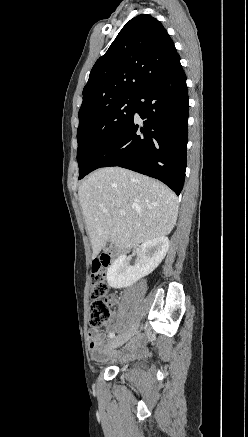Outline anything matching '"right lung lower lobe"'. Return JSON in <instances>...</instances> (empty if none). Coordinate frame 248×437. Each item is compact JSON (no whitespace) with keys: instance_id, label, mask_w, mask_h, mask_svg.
<instances>
[{"instance_id":"obj_1","label":"right lung lower lobe","mask_w":248,"mask_h":437,"mask_svg":"<svg viewBox=\"0 0 248 437\" xmlns=\"http://www.w3.org/2000/svg\"><path fill=\"white\" fill-rule=\"evenodd\" d=\"M188 93L186 76L176 55L135 96L134 114L116 139L95 159L91 171L127 168L159 179L180 194L186 170Z\"/></svg>"}]
</instances>
